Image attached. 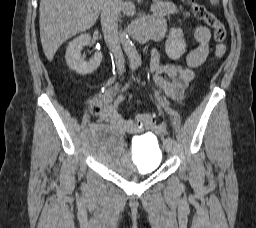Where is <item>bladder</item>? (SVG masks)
<instances>
[{
    "instance_id": "obj_1",
    "label": "bladder",
    "mask_w": 256,
    "mask_h": 228,
    "mask_svg": "<svg viewBox=\"0 0 256 228\" xmlns=\"http://www.w3.org/2000/svg\"><path fill=\"white\" fill-rule=\"evenodd\" d=\"M89 149L110 171L124 179L149 175L157 170L162 160V151L156 139H139L134 151L127 152L123 134L106 126H100L92 133Z\"/></svg>"
}]
</instances>
